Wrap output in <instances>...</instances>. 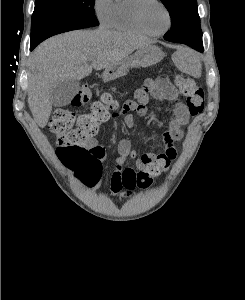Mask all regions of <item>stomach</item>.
<instances>
[{
  "mask_svg": "<svg viewBox=\"0 0 245 300\" xmlns=\"http://www.w3.org/2000/svg\"><path fill=\"white\" fill-rule=\"evenodd\" d=\"M163 58L164 53L160 48L153 45L144 46L137 49L134 54L107 67L103 78L113 80L125 74L132 67H149L159 63Z\"/></svg>",
  "mask_w": 245,
  "mask_h": 300,
  "instance_id": "stomach-1",
  "label": "stomach"
}]
</instances>
